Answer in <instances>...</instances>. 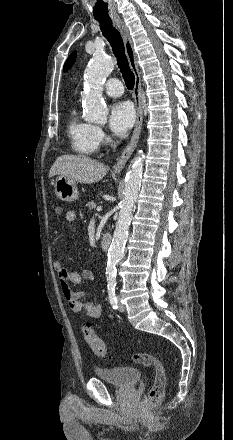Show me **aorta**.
I'll use <instances>...</instances> for the list:
<instances>
[{
  "mask_svg": "<svg viewBox=\"0 0 233 440\" xmlns=\"http://www.w3.org/2000/svg\"><path fill=\"white\" fill-rule=\"evenodd\" d=\"M114 69V61L102 53H96L86 72V90L84 94L85 120L94 123H106L108 108L103 101V83ZM143 172V155L136 156L126 174L124 196L120 202V212L113 239L108 250L106 275L108 280L116 277V265L124 255L128 230L140 190Z\"/></svg>",
  "mask_w": 233,
  "mask_h": 440,
  "instance_id": "obj_1",
  "label": "aorta"
}]
</instances>
